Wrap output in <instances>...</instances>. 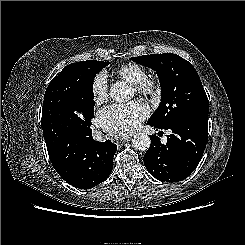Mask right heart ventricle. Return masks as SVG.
<instances>
[{"mask_svg":"<svg viewBox=\"0 0 245 245\" xmlns=\"http://www.w3.org/2000/svg\"><path fill=\"white\" fill-rule=\"evenodd\" d=\"M113 74L118 79L135 84L147 76V71L145 67L130 62L116 68Z\"/></svg>","mask_w":245,"mask_h":245,"instance_id":"1","label":"right heart ventricle"}]
</instances>
